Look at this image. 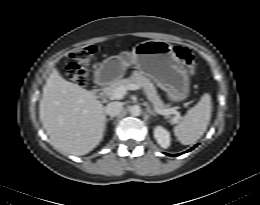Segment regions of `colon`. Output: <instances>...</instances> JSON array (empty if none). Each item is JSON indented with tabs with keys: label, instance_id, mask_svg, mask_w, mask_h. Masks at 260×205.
I'll list each match as a JSON object with an SVG mask.
<instances>
[{
	"label": "colon",
	"instance_id": "5ec220e1",
	"mask_svg": "<svg viewBox=\"0 0 260 205\" xmlns=\"http://www.w3.org/2000/svg\"><path fill=\"white\" fill-rule=\"evenodd\" d=\"M97 52L96 46L90 45L77 49L71 53V61L66 66V71L73 82L80 86L86 85L89 74V63ZM175 53L181 59L189 73L196 70L194 54L186 47L176 46Z\"/></svg>",
	"mask_w": 260,
	"mask_h": 205
}]
</instances>
